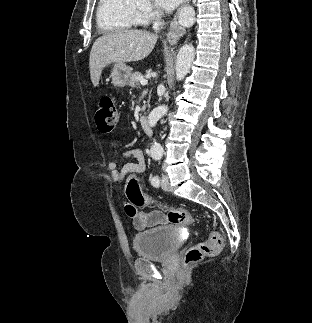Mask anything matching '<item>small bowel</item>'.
<instances>
[{
  "instance_id": "small-bowel-1",
  "label": "small bowel",
  "mask_w": 312,
  "mask_h": 323,
  "mask_svg": "<svg viewBox=\"0 0 312 323\" xmlns=\"http://www.w3.org/2000/svg\"><path fill=\"white\" fill-rule=\"evenodd\" d=\"M123 160L134 159V162L124 163L122 166L117 161H110L108 169L114 182L122 183L125 176H136L146 170V160L144 152L140 148H129L122 152ZM135 229L145 230L156 227L167 222V217L160 210L149 212H138L129 215Z\"/></svg>"
}]
</instances>
